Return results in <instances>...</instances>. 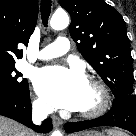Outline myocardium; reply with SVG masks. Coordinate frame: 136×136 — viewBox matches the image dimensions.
<instances>
[{
    "label": "myocardium",
    "instance_id": "f54148a6",
    "mask_svg": "<svg viewBox=\"0 0 136 136\" xmlns=\"http://www.w3.org/2000/svg\"><path fill=\"white\" fill-rule=\"evenodd\" d=\"M88 83L97 90L99 101L98 104L92 109L80 111L79 115L83 118H96L107 111L110 105L111 97L108 88L102 81L91 78Z\"/></svg>",
    "mask_w": 136,
    "mask_h": 136
}]
</instances>
